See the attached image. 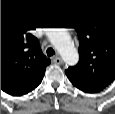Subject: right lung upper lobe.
<instances>
[{"label":"right lung upper lobe","instance_id":"obj_1","mask_svg":"<svg viewBox=\"0 0 115 114\" xmlns=\"http://www.w3.org/2000/svg\"><path fill=\"white\" fill-rule=\"evenodd\" d=\"M23 22L1 21V90L21 96L42 81L50 59Z\"/></svg>","mask_w":115,"mask_h":114}]
</instances>
